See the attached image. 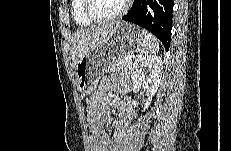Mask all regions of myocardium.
I'll return each instance as SVG.
<instances>
[{
	"mask_svg": "<svg viewBox=\"0 0 231 151\" xmlns=\"http://www.w3.org/2000/svg\"><path fill=\"white\" fill-rule=\"evenodd\" d=\"M130 3H131L130 0H125L122 8L117 13L109 16L99 17L95 15L92 11V0H84V12L86 16L93 22L106 23V22L118 20L119 18L124 16L128 11Z\"/></svg>",
	"mask_w": 231,
	"mask_h": 151,
	"instance_id": "1",
	"label": "myocardium"
}]
</instances>
